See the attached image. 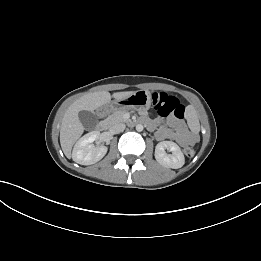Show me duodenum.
Instances as JSON below:
<instances>
[{
  "label": "duodenum",
  "mask_w": 261,
  "mask_h": 261,
  "mask_svg": "<svg viewBox=\"0 0 261 261\" xmlns=\"http://www.w3.org/2000/svg\"><path fill=\"white\" fill-rule=\"evenodd\" d=\"M110 109H111L110 106L102 107V108L99 110V113H100L101 115H103V114L107 113ZM105 128H106V124H105L104 121H100V122L97 124V126H96V129H97L98 131H103V130H105Z\"/></svg>",
  "instance_id": "410a0bca"
}]
</instances>
